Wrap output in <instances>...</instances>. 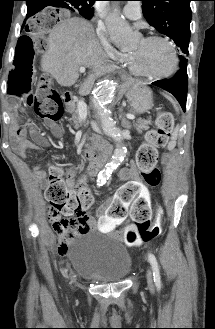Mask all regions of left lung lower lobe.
<instances>
[{"mask_svg":"<svg viewBox=\"0 0 215 329\" xmlns=\"http://www.w3.org/2000/svg\"><path fill=\"white\" fill-rule=\"evenodd\" d=\"M187 61H180V69L172 78L166 80H158L152 83L153 85H156L173 94L184 111L186 109L188 86Z\"/></svg>","mask_w":215,"mask_h":329,"instance_id":"left-lung-lower-lobe-1","label":"left lung lower lobe"}]
</instances>
